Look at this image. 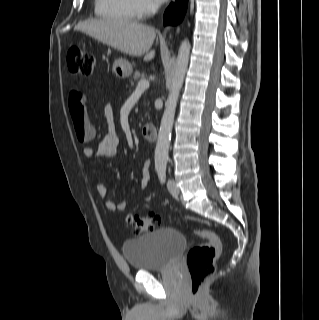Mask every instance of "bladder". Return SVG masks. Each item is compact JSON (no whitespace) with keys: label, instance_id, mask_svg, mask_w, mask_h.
Segmentation results:
<instances>
[{"label":"bladder","instance_id":"31cf9c89","mask_svg":"<svg viewBox=\"0 0 319 320\" xmlns=\"http://www.w3.org/2000/svg\"><path fill=\"white\" fill-rule=\"evenodd\" d=\"M187 247L185 234L163 227L124 241L122 251L133 270L151 272L170 268Z\"/></svg>","mask_w":319,"mask_h":320}]
</instances>
